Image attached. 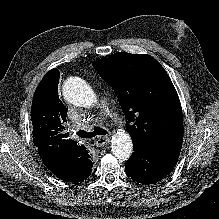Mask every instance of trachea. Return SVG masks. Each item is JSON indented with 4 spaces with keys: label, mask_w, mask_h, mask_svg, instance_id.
I'll return each mask as SVG.
<instances>
[{
    "label": "trachea",
    "mask_w": 219,
    "mask_h": 219,
    "mask_svg": "<svg viewBox=\"0 0 219 219\" xmlns=\"http://www.w3.org/2000/svg\"><path fill=\"white\" fill-rule=\"evenodd\" d=\"M77 134L81 138H92V137H95L97 135H106V134H108V132L101 127L94 126L92 132H86L84 130H81Z\"/></svg>",
    "instance_id": "trachea-1"
}]
</instances>
